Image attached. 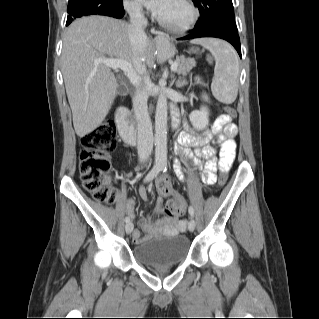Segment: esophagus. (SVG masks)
I'll return each mask as SVG.
<instances>
[{
	"label": "esophagus",
	"mask_w": 319,
	"mask_h": 319,
	"mask_svg": "<svg viewBox=\"0 0 319 319\" xmlns=\"http://www.w3.org/2000/svg\"><path fill=\"white\" fill-rule=\"evenodd\" d=\"M152 33L155 35V38H162L163 33L158 30H153Z\"/></svg>",
	"instance_id": "obj_1"
}]
</instances>
